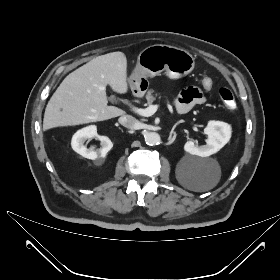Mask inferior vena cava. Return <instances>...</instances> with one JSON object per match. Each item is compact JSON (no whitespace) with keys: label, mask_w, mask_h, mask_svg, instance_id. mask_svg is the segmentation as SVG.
<instances>
[{"label":"inferior vena cava","mask_w":280,"mask_h":280,"mask_svg":"<svg viewBox=\"0 0 280 280\" xmlns=\"http://www.w3.org/2000/svg\"><path fill=\"white\" fill-rule=\"evenodd\" d=\"M120 124H122L124 127L137 130L140 128V122L131 115H124L119 118Z\"/></svg>","instance_id":"obj_1"}]
</instances>
